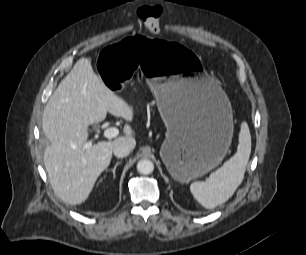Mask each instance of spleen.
<instances>
[{
	"mask_svg": "<svg viewBox=\"0 0 306 255\" xmlns=\"http://www.w3.org/2000/svg\"><path fill=\"white\" fill-rule=\"evenodd\" d=\"M251 153V135L246 122L241 124L237 152L203 182H193L190 191L205 208L225 203L242 183Z\"/></svg>",
	"mask_w": 306,
	"mask_h": 255,
	"instance_id": "1",
	"label": "spleen"
}]
</instances>
